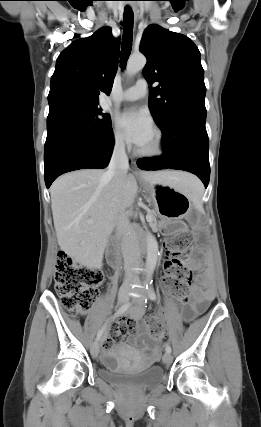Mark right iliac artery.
<instances>
[{
    "mask_svg": "<svg viewBox=\"0 0 261 427\" xmlns=\"http://www.w3.org/2000/svg\"><path fill=\"white\" fill-rule=\"evenodd\" d=\"M129 306H130V303H126V304L122 305V306L117 310V312L114 314V316H113L112 318L114 319L115 317H117V316L121 315L122 313H124V312L129 308ZM103 331H104V327H102V328L99 330V332L97 333V337H96V340H97V341L101 338V336H102V334H103Z\"/></svg>",
    "mask_w": 261,
    "mask_h": 427,
    "instance_id": "82829eb1",
    "label": "right iliac artery"
}]
</instances>
